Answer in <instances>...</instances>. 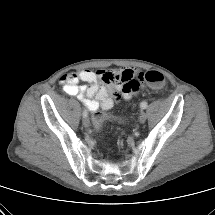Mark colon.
I'll return each mask as SVG.
<instances>
[{
  "mask_svg": "<svg viewBox=\"0 0 215 215\" xmlns=\"http://www.w3.org/2000/svg\"><path fill=\"white\" fill-rule=\"evenodd\" d=\"M139 80H145L150 86L154 88H161L165 82L163 74L156 70H151L146 72L145 74H142ZM134 85L136 86L137 83H135ZM106 118H108V115H106L105 113H102L100 111L94 112L92 117L94 127L96 129H100L103 121Z\"/></svg>",
  "mask_w": 215,
  "mask_h": 215,
  "instance_id": "obj_1",
  "label": "colon"
}]
</instances>
